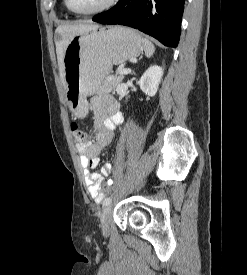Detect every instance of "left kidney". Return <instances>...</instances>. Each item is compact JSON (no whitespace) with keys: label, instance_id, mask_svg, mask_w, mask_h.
Wrapping results in <instances>:
<instances>
[{"label":"left kidney","instance_id":"5707ae66","mask_svg":"<svg viewBox=\"0 0 247 275\" xmlns=\"http://www.w3.org/2000/svg\"><path fill=\"white\" fill-rule=\"evenodd\" d=\"M164 69L160 66H151L140 78V89L148 96L153 97L158 90Z\"/></svg>","mask_w":247,"mask_h":275}]
</instances>
